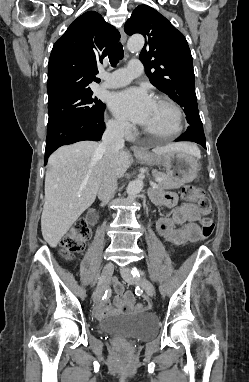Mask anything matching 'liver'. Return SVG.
I'll use <instances>...</instances> for the list:
<instances>
[{
  "instance_id": "obj_1",
  "label": "liver",
  "mask_w": 249,
  "mask_h": 382,
  "mask_svg": "<svg viewBox=\"0 0 249 382\" xmlns=\"http://www.w3.org/2000/svg\"><path fill=\"white\" fill-rule=\"evenodd\" d=\"M100 143L80 141L62 146L49 158L45 175V203L41 231L50 247H56L80 215L95 201L106 164ZM183 150L199 157V150L188 143H172L153 149L159 155ZM131 155L120 151L115 166L117 177L126 173Z\"/></svg>"
}]
</instances>
